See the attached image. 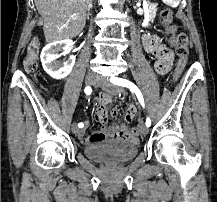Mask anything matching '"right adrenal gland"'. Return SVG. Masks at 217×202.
<instances>
[{"mask_svg":"<svg viewBox=\"0 0 217 202\" xmlns=\"http://www.w3.org/2000/svg\"><path fill=\"white\" fill-rule=\"evenodd\" d=\"M93 2H94V0H89V4H88V8H87V18H89V16H90V10L93 6Z\"/></svg>","mask_w":217,"mask_h":202,"instance_id":"right-adrenal-gland-1","label":"right adrenal gland"}]
</instances>
